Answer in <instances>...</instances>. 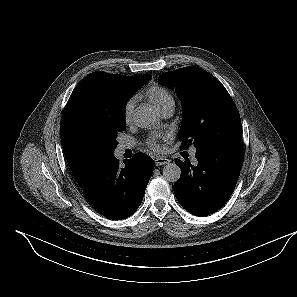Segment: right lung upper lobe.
Instances as JSON below:
<instances>
[{"label": "right lung upper lobe", "mask_w": 297, "mask_h": 297, "mask_svg": "<svg viewBox=\"0 0 297 297\" xmlns=\"http://www.w3.org/2000/svg\"><path fill=\"white\" fill-rule=\"evenodd\" d=\"M150 78V74L125 76L97 71L82 79L72 92L62 114L60 133L66 160L81 188L102 164L92 161L76 144L74 125L79 115L90 109L121 107L127 103L126 99L129 100L130 93L137 91Z\"/></svg>", "instance_id": "1"}]
</instances>
